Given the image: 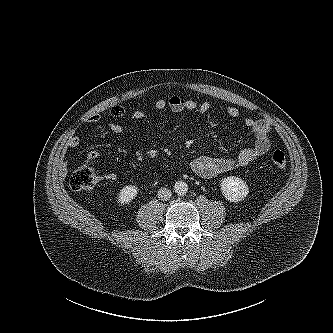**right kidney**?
Masks as SVG:
<instances>
[{
  "label": "right kidney",
  "mask_w": 333,
  "mask_h": 333,
  "mask_svg": "<svg viewBox=\"0 0 333 333\" xmlns=\"http://www.w3.org/2000/svg\"><path fill=\"white\" fill-rule=\"evenodd\" d=\"M137 194H138L137 186L135 185L125 186L118 193L117 197L118 203L121 205L129 204L130 202H132L133 199H135Z\"/></svg>",
  "instance_id": "obj_1"
}]
</instances>
